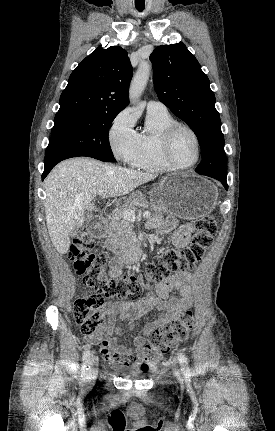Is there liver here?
Returning <instances> with one entry per match:
<instances>
[{"label": "liver", "instance_id": "1", "mask_svg": "<svg viewBox=\"0 0 275 431\" xmlns=\"http://www.w3.org/2000/svg\"><path fill=\"white\" fill-rule=\"evenodd\" d=\"M155 177L89 158L59 163L45 180L47 229L58 253L69 250L70 234L84 225L99 190L103 198L123 196Z\"/></svg>", "mask_w": 275, "mask_h": 431}]
</instances>
